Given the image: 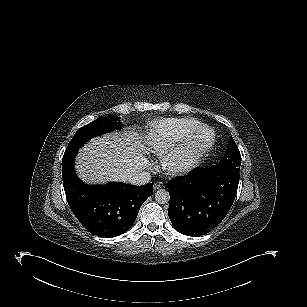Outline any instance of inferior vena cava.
Wrapping results in <instances>:
<instances>
[{
  "mask_svg": "<svg viewBox=\"0 0 307 307\" xmlns=\"http://www.w3.org/2000/svg\"><path fill=\"white\" fill-rule=\"evenodd\" d=\"M151 176L146 171H138L132 174L129 178V183L132 185H145L149 183Z\"/></svg>",
  "mask_w": 307,
  "mask_h": 307,
  "instance_id": "1",
  "label": "inferior vena cava"
}]
</instances>
